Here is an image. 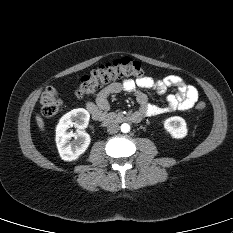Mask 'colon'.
I'll return each instance as SVG.
<instances>
[{"label":"colon","mask_w":233,"mask_h":233,"mask_svg":"<svg viewBox=\"0 0 233 233\" xmlns=\"http://www.w3.org/2000/svg\"><path fill=\"white\" fill-rule=\"evenodd\" d=\"M144 70L140 62L130 58H122L93 70L84 76L77 87L79 98L94 93L98 88L125 77H143ZM41 112L46 117L55 116L61 108V100L55 87L49 86L40 98ZM197 111L206 108V103L199 101L195 106Z\"/></svg>","instance_id":"colon-1"}]
</instances>
